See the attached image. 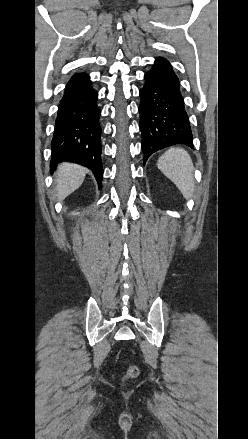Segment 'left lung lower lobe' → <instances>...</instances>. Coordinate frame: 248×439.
I'll list each match as a JSON object with an SVG mask.
<instances>
[{
    "label": "left lung lower lobe",
    "instance_id": "left-lung-lower-lobe-1",
    "mask_svg": "<svg viewBox=\"0 0 248 439\" xmlns=\"http://www.w3.org/2000/svg\"><path fill=\"white\" fill-rule=\"evenodd\" d=\"M144 80L139 91V113L145 164L152 153L165 147L184 144L193 148V136L179 80L171 64L157 58Z\"/></svg>",
    "mask_w": 248,
    "mask_h": 439
}]
</instances>
